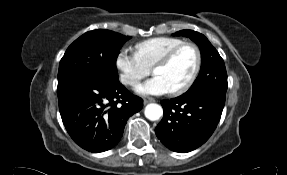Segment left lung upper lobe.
Returning a JSON list of instances; mask_svg holds the SVG:
<instances>
[{
  "instance_id": "obj_1",
  "label": "left lung upper lobe",
  "mask_w": 287,
  "mask_h": 175,
  "mask_svg": "<svg viewBox=\"0 0 287 175\" xmlns=\"http://www.w3.org/2000/svg\"><path fill=\"white\" fill-rule=\"evenodd\" d=\"M174 35L189 37L201 50L200 73L186 93L214 92L226 95L228 83L224 61L208 39L203 34L192 30H182Z\"/></svg>"
}]
</instances>
